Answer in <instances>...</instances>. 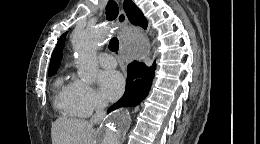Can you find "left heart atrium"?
<instances>
[{"mask_svg": "<svg viewBox=\"0 0 260 144\" xmlns=\"http://www.w3.org/2000/svg\"><path fill=\"white\" fill-rule=\"evenodd\" d=\"M102 96L107 100H115L124 91V78L118 71L102 72L98 78Z\"/></svg>", "mask_w": 260, "mask_h": 144, "instance_id": "39dd6f15", "label": "left heart atrium"}]
</instances>
